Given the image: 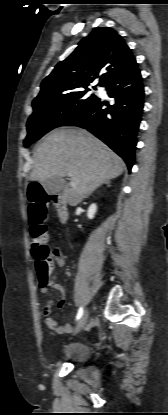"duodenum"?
Masks as SVG:
<instances>
[{"label":"duodenum","instance_id":"410a0bca","mask_svg":"<svg viewBox=\"0 0 168 415\" xmlns=\"http://www.w3.org/2000/svg\"><path fill=\"white\" fill-rule=\"evenodd\" d=\"M57 215L61 223H66L69 218V212L66 204L57 196L53 197Z\"/></svg>","mask_w":168,"mask_h":415}]
</instances>
